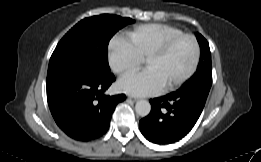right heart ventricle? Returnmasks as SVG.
Here are the masks:
<instances>
[{
	"label": "right heart ventricle",
	"instance_id": "obj_1",
	"mask_svg": "<svg viewBox=\"0 0 261 162\" xmlns=\"http://www.w3.org/2000/svg\"><path fill=\"white\" fill-rule=\"evenodd\" d=\"M181 33V29L172 25L150 23L134 27L127 32V36L138 56L145 59L152 50L164 41Z\"/></svg>",
	"mask_w": 261,
	"mask_h": 162
}]
</instances>
